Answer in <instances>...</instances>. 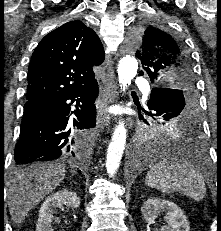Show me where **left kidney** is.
<instances>
[{
  "instance_id": "left-kidney-1",
  "label": "left kidney",
  "mask_w": 221,
  "mask_h": 231,
  "mask_svg": "<svg viewBox=\"0 0 221 231\" xmlns=\"http://www.w3.org/2000/svg\"><path fill=\"white\" fill-rule=\"evenodd\" d=\"M165 211L167 225L161 227V231H190L189 222L183 211L175 203L159 198L148 199L141 207V213L148 224H153L158 214Z\"/></svg>"
}]
</instances>
